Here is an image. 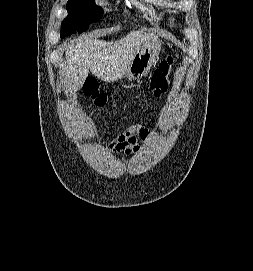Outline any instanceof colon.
Returning <instances> with one entry per match:
<instances>
[{
    "label": "colon",
    "mask_w": 253,
    "mask_h": 271,
    "mask_svg": "<svg viewBox=\"0 0 253 271\" xmlns=\"http://www.w3.org/2000/svg\"><path fill=\"white\" fill-rule=\"evenodd\" d=\"M174 68V57L169 55L165 58L154 72L150 81V90L155 96L168 91L170 86V76ZM85 94L90 97L96 105H103L106 102V96L98 91L97 83L94 79L88 78L84 83Z\"/></svg>",
    "instance_id": "1"
}]
</instances>
